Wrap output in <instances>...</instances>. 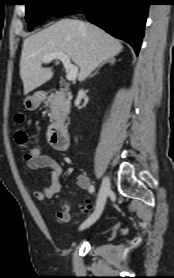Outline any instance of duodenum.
Here are the masks:
<instances>
[{"label":"duodenum","mask_w":174,"mask_h":278,"mask_svg":"<svg viewBox=\"0 0 174 278\" xmlns=\"http://www.w3.org/2000/svg\"><path fill=\"white\" fill-rule=\"evenodd\" d=\"M45 94L41 95L44 98ZM48 140L50 144L59 150L67 149L69 145V133L65 125L60 123L53 124L48 131Z\"/></svg>","instance_id":"obj_1"}]
</instances>
